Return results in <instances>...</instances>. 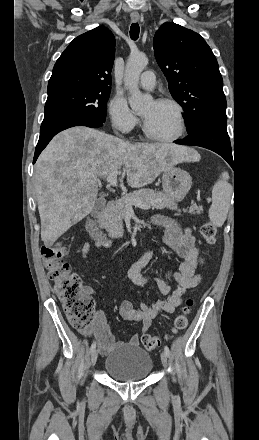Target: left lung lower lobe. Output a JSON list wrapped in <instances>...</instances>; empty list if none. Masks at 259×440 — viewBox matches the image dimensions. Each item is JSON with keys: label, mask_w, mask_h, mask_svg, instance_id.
Wrapping results in <instances>:
<instances>
[{"label": "left lung lower lobe", "mask_w": 259, "mask_h": 440, "mask_svg": "<svg viewBox=\"0 0 259 440\" xmlns=\"http://www.w3.org/2000/svg\"><path fill=\"white\" fill-rule=\"evenodd\" d=\"M176 144L207 148L222 156L232 166L233 158L227 133V119L206 118L188 131L186 138L176 141Z\"/></svg>", "instance_id": "0a47b994"}]
</instances>
